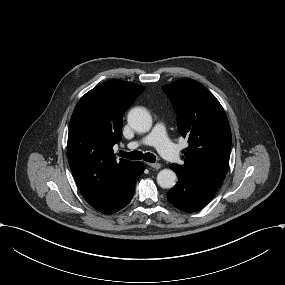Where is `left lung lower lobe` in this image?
Wrapping results in <instances>:
<instances>
[{
    "label": "left lung lower lobe",
    "mask_w": 285,
    "mask_h": 285,
    "mask_svg": "<svg viewBox=\"0 0 285 285\" xmlns=\"http://www.w3.org/2000/svg\"><path fill=\"white\" fill-rule=\"evenodd\" d=\"M170 168L175 171L179 181L168 191L169 202L186 212H196L205 207L212 199L215 191L180 174L173 164L170 165Z\"/></svg>",
    "instance_id": "1"
}]
</instances>
